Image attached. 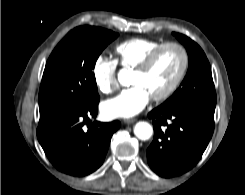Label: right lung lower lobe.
<instances>
[{
	"label": "right lung lower lobe",
	"instance_id": "98d812e1",
	"mask_svg": "<svg viewBox=\"0 0 245 195\" xmlns=\"http://www.w3.org/2000/svg\"><path fill=\"white\" fill-rule=\"evenodd\" d=\"M98 103L87 108L40 116L38 140L50 160L61 172L85 176L103 163L111 137L120 122H89L96 117ZM87 124L88 130L84 129Z\"/></svg>",
	"mask_w": 245,
	"mask_h": 195
}]
</instances>
